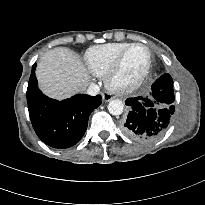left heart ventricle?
<instances>
[{"label": "left heart ventricle", "mask_w": 205, "mask_h": 205, "mask_svg": "<svg viewBox=\"0 0 205 205\" xmlns=\"http://www.w3.org/2000/svg\"><path fill=\"white\" fill-rule=\"evenodd\" d=\"M148 61L147 51L143 47H134L126 55L119 80L130 81L137 77L145 68Z\"/></svg>", "instance_id": "obj_1"}]
</instances>
